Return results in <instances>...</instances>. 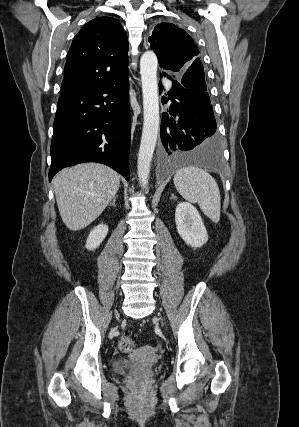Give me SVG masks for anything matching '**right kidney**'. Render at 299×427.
<instances>
[{"mask_svg":"<svg viewBox=\"0 0 299 427\" xmlns=\"http://www.w3.org/2000/svg\"><path fill=\"white\" fill-rule=\"evenodd\" d=\"M108 233V226L106 224H99L91 230L87 241L86 248L88 250H95L105 239Z\"/></svg>","mask_w":299,"mask_h":427,"instance_id":"right-kidney-1","label":"right kidney"}]
</instances>
